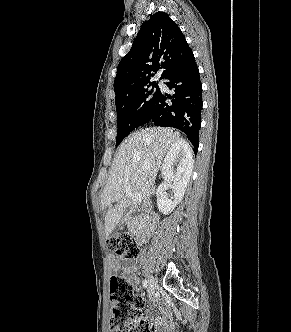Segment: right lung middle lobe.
Segmentation results:
<instances>
[{
    "label": "right lung middle lobe",
    "instance_id": "dd1d6c3e",
    "mask_svg": "<svg viewBox=\"0 0 291 332\" xmlns=\"http://www.w3.org/2000/svg\"><path fill=\"white\" fill-rule=\"evenodd\" d=\"M150 85L134 90L115 100L118 124L116 146L135 128L142 124L147 113L158 98L161 92L158 84L155 82ZM140 105L143 106L146 115H140L142 108L136 111Z\"/></svg>",
    "mask_w": 291,
    "mask_h": 332
}]
</instances>
